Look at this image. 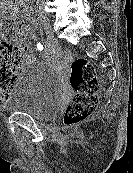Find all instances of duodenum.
<instances>
[{
	"mask_svg": "<svg viewBox=\"0 0 133 173\" xmlns=\"http://www.w3.org/2000/svg\"><path fill=\"white\" fill-rule=\"evenodd\" d=\"M20 1H23V0H20ZM24 9L26 12H29V9L26 6L24 7Z\"/></svg>",
	"mask_w": 133,
	"mask_h": 173,
	"instance_id": "duodenum-1",
	"label": "duodenum"
}]
</instances>
